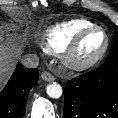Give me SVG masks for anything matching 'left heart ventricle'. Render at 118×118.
Masks as SVG:
<instances>
[{"mask_svg": "<svg viewBox=\"0 0 118 118\" xmlns=\"http://www.w3.org/2000/svg\"><path fill=\"white\" fill-rule=\"evenodd\" d=\"M104 44L105 38L101 32L89 34L78 49L77 59L81 61L92 59L103 49Z\"/></svg>", "mask_w": 118, "mask_h": 118, "instance_id": "b2bd125f", "label": "left heart ventricle"}]
</instances>
